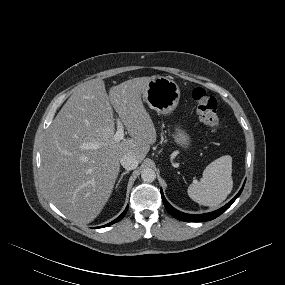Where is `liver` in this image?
<instances>
[{
  "label": "liver",
  "instance_id": "6515ba94",
  "mask_svg": "<svg viewBox=\"0 0 285 285\" xmlns=\"http://www.w3.org/2000/svg\"><path fill=\"white\" fill-rule=\"evenodd\" d=\"M152 77L113 86L109 95L101 79L78 85L45 136L41 179L50 201L70 220L87 224L112 194L125 154L144 160L156 142V129L141 96ZM129 139L116 142L112 106ZM97 144L98 148H85Z\"/></svg>",
  "mask_w": 285,
  "mask_h": 285
}]
</instances>
